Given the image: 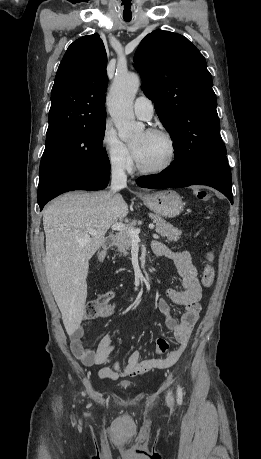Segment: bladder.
<instances>
[{
  "instance_id": "bladder-1",
  "label": "bladder",
  "mask_w": 261,
  "mask_h": 459,
  "mask_svg": "<svg viewBox=\"0 0 261 459\" xmlns=\"http://www.w3.org/2000/svg\"><path fill=\"white\" fill-rule=\"evenodd\" d=\"M121 386L124 387V388H127V387L130 386V384L129 383H123V384H121Z\"/></svg>"
}]
</instances>
